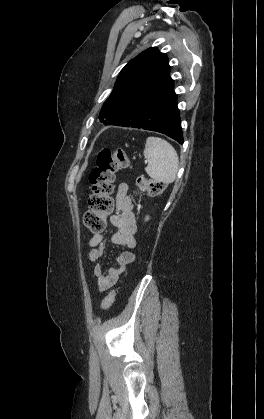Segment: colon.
Wrapping results in <instances>:
<instances>
[{
    "mask_svg": "<svg viewBox=\"0 0 264 419\" xmlns=\"http://www.w3.org/2000/svg\"><path fill=\"white\" fill-rule=\"evenodd\" d=\"M130 167V160L122 151L104 149L99 152L96 165L89 174L91 194L89 208L85 212L84 225L92 232L99 233L105 228L106 218L114 209V180L115 174L120 169ZM137 187L140 191L157 195L165 190V184L155 180L138 177ZM115 291H111L103 299L102 309L107 310L113 304Z\"/></svg>",
    "mask_w": 264,
    "mask_h": 419,
    "instance_id": "1",
    "label": "colon"
}]
</instances>
